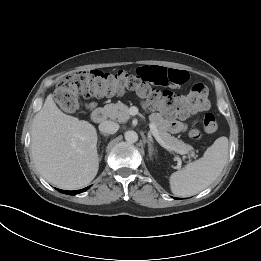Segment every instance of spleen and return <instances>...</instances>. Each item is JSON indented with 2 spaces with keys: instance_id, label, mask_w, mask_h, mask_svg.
<instances>
[{
  "instance_id": "obj_1",
  "label": "spleen",
  "mask_w": 261,
  "mask_h": 261,
  "mask_svg": "<svg viewBox=\"0 0 261 261\" xmlns=\"http://www.w3.org/2000/svg\"><path fill=\"white\" fill-rule=\"evenodd\" d=\"M229 142L219 137L203 157L171 174L170 188L176 196H192L210 186L222 172L228 158Z\"/></svg>"
}]
</instances>
